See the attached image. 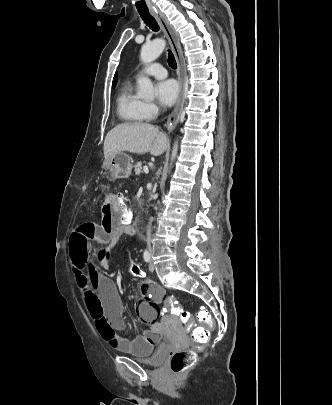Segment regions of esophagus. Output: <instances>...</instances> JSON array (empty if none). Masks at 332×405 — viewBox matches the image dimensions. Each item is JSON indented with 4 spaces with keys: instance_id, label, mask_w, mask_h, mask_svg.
<instances>
[{
    "instance_id": "1",
    "label": "esophagus",
    "mask_w": 332,
    "mask_h": 405,
    "mask_svg": "<svg viewBox=\"0 0 332 405\" xmlns=\"http://www.w3.org/2000/svg\"><path fill=\"white\" fill-rule=\"evenodd\" d=\"M150 13L155 17L158 21L161 29L164 32L165 37L168 39L170 47L175 55L177 65H178V78L180 83V91L176 106L168 118L166 123V128L168 131H172L180 118L182 107H183V99H184V83H185V76H186V69L184 58L182 54V49L180 45V39L174 28L171 26L169 21L167 20L166 16L161 13L159 10H151Z\"/></svg>"
}]
</instances>
